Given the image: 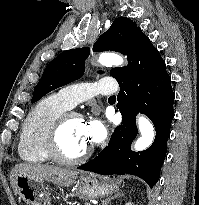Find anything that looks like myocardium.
<instances>
[{"instance_id":"myocardium-1","label":"myocardium","mask_w":199,"mask_h":205,"mask_svg":"<svg viewBox=\"0 0 199 205\" xmlns=\"http://www.w3.org/2000/svg\"><path fill=\"white\" fill-rule=\"evenodd\" d=\"M71 118L83 119L82 115L75 111H64L52 122L45 134L43 142L44 152L48 158L52 161L65 165L76 164L87 159L92 154L93 150L92 146L89 145L80 154L73 157L66 156L62 153L59 145L60 134L65 124Z\"/></svg>"}]
</instances>
